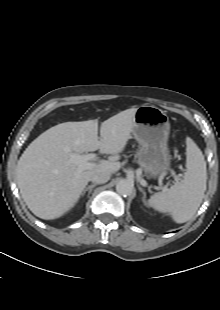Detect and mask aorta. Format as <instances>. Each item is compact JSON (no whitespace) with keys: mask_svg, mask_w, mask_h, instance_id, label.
I'll list each match as a JSON object with an SVG mask.
<instances>
[{"mask_svg":"<svg viewBox=\"0 0 220 310\" xmlns=\"http://www.w3.org/2000/svg\"><path fill=\"white\" fill-rule=\"evenodd\" d=\"M116 191L122 196H129L133 191V184L129 180H120L116 185Z\"/></svg>","mask_w":220,"mask_h":310,"instance_id":"1","label":"aorta"}]
</instances>
